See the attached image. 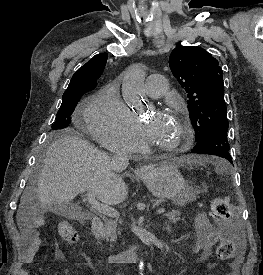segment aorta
I'll return each instance as SVG.
<instances>
[{"label":"aorta","mask_w":263,"mask_h":275,"mask_svg":"<svg viewBox=\"0 0 263 275\" xmlns=\"http://www.w3.org/2000/svg\"><path fill=\"white\" fill-rule=\"evenodd\" d=\"M145 71L139 64L133 65L127 69L122 82V94L128 103L138 102L144 93ZM139 269L144 270V264L141 261Z\"/></svg>","instance_id":"aorta-1"}]
</instances>
